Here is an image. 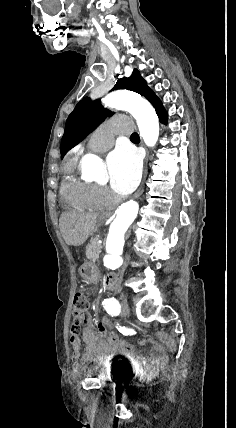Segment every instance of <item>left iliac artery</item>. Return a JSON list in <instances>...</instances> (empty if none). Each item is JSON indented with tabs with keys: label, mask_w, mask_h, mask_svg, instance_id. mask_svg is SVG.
<instances>
[{
	"label": "left iliac artery",
	"mask_w": 236,
	"mask_h": 428,
	"mask_svg": "<svg viewBox=\"0 0 236 428\" xmlns=\"http://www.w3.org/2000/svg\"><path fill=\"white\" fill-rule=\"evenodd\" d=\"M102 304L106 311L113 310L114 308L119 306V302L114 297L109 299H104Z\"/></svg>",
	"instance_id": "44dca946"
}]
</instances>
